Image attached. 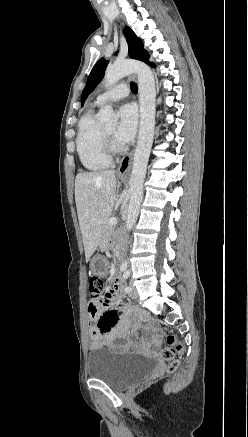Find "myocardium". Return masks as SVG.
I'll use <instances>...</instances> for the list:
<instances>
[{
	"instance_id": "1",
	"label": "myocardium",
	"mask_w": 248,
	"mask_h": 437,
	"mask_svg": "<svg viewBox=\"0 0 248 437\" xmlns=\"http://www.w3.org/2000/svg\"><path fill=\"white\" fill-rule=\"evenodd\" d=\"M103 139L105 151L110 157L123 151V147L115 142L105 131H103Z\"/></svg>"
}]
</instances>
